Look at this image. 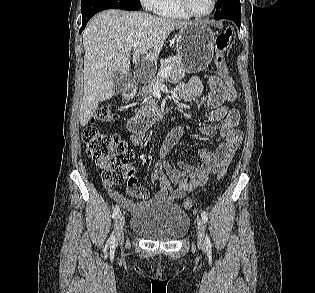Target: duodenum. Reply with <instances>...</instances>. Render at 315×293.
<instances>
[{"instance_id": "duodenum-1", "label": "duodenum", "mask_w": 315, "mask_h": 293, "mask_svg": "<svg viewBox=\"0 0 315 293\" xmlns=\"http://www.w3.org/2000/svg\"><path fill=\"white\" fill-rule=\"evenodd\" d=\"M136 90L137 86L134 83L128 84L123 90V95L125 98L129 99L135 95ZM167 112L168 106L163 104L155 105L145 114L132 118L128 123V127L132 132H143L147 130L154 121L163 117Z\"/></svg>"}]
</instances>
